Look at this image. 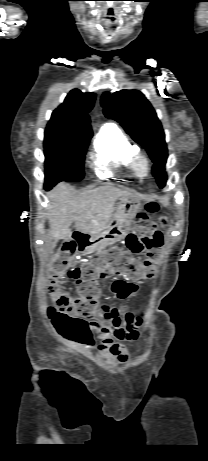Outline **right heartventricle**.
Returning <instances> with one entry per match:
<instances>
[{
	"mask_svg": "<svg viewBox=\"0 0 208 461\" xmlns=\"http://www.w3.org/2000/svg\"><path fill=\"white\" fill-rule=\"evenodd\" d=\"M134 146L115 125L107 124L94 142L93 165L100 178L118 176L128 170Z\"/></svg>",
	"mask_w": 208,
	"mask_h": 461,
	"instance_id": "obj_1",
	"label": "right heart ventricle"
}]
</instances>
